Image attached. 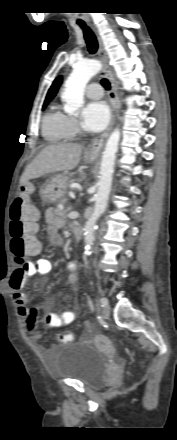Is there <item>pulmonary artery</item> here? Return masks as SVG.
Listing matches in <instances>:
<instances>
[{"instance_id":"obj_1","label":"pulmonary artery","mask_w":177,"mask_h":440,"mask_svg":"<svg viewBox=\"0 0 177 440\" xmlns=\"http://www.w3.org/2000/svg\"><path fill=\"white\" fill-rule=\"evenodd\" d=\"M86 94L91 99H99L103 96V88L98 83H91L86 89Z\"/></svg>"}]
</instances>
